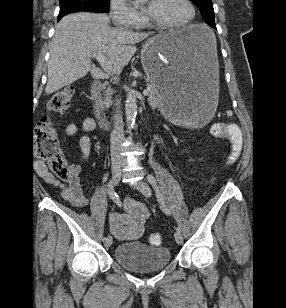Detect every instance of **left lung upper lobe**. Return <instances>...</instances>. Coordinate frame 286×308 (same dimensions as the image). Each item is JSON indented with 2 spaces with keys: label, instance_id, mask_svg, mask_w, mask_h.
I'll return each instance as SVG.
<instances>
[{
  "label": "left lung upper lobe",
  "instance_id": "1",
  "mask_svg": "<svg viewBox=\"0 0 286 308\" xmlns=\"http://www.w3.org/2000/svg\"><path fill=\"white\" fill-rule=\"evenodd\" d=\"M200 10L204 21L211 25L214 22V9L212 0H191Z\"/></svg>",
  "mask_w": 286,
  "mask_h": 308
}]
</instances>
